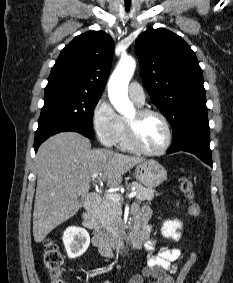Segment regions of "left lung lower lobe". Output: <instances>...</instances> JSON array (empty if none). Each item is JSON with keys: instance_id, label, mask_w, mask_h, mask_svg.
Listing matches in <instances>:
<instances>
[{"instance_id": "0a47b994", "label": "left lung lower lobe", "mask_w": 233, "mask_h": 283, "mask_svg": "<svg viewBox=\"0 0 233 283\" xmlns=\"http://www.w3.org/2000/svg\"><path fill=\"white\" fill-rule=\"evenodd\" d=\"M177 151L193 153L204 163L212 167L209 129L194 127L175 138L167 154Z\"/></svg>"}]
</instances>
